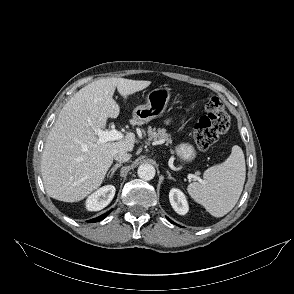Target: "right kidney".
Returning <instances> with one entry per match:
<instances>
[{"label":"right kidney","instance_id":"obj_1","mask_svg":"<svg viewBox=\"0 0 294 294\" xmlns=\"http://www.w3.org/2000/svg\"><path fill=\"white\" fill-rule=\"evenodd\" d=\"M116 189L113 185H106L91 194L86 200L88 211H99L105 208L113 199Z\"/></svg>","mask_w":294,"mask_h":294}]
</instances>
